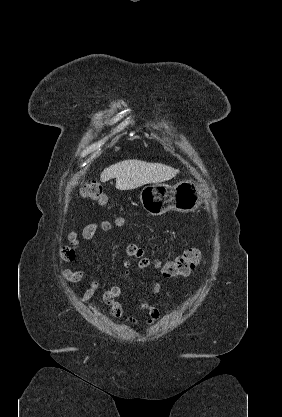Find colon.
<instances>
[{"instance_id": "1", "label": "colon", "mask_w": 282, "mask_h": 417, "mask_svg": "<svg viewBox=\"0 0 282 417\" xmlns=\"http://www.w3.org/2000/svg\"><path fill=\"white\" fill-rule=\"evenodd\" d=\"M79 195L98 202L103 206L109 204L108 196L104 187L99 182H86L79 188ZM119 225H124V219H118ZM65 255L69 259H73L74 252L71 249L65 251ZM201 254L197 249H189L182 255L174 259L160 261L156 260V265L166 277H183L187 276L190 271L198 264Z\"/></svg>"}]
</instances>
